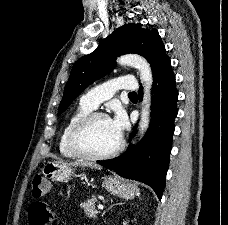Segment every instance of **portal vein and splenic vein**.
<instances>
[{"label":"portal vein and splenic vein","mask_w":228,"mask_h":225,"mask_svg":"<svg viewBox=\"0 0 228 225\" xmlns=\"http://www.w3.org/2000/svg\"><path fill=\"white\" fill-rule=\"evenodd\" d=\"M98 209H104L103 205H98Z\"/></svg>","instance_id":"obj_1"}]
</instances>
